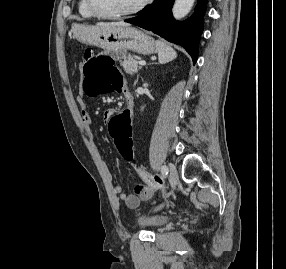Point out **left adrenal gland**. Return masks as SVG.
<instances>
[{
    "label": "left adrenal gland",
    "mask_w": 286,
    "mask_h": 269,
    "mask_svg": "<svg viewBox=\"0 0 286 269\" xmlns=\"http://www.w3.org/2000/svg\"><path fill=\"white\" fill-rule=\"evenodd\" d=\"M138 79H139V75L137 76V80H136V83L138 82Z\"/></svg>",
    "instance_id": "obj_1"
}]
</instances>
